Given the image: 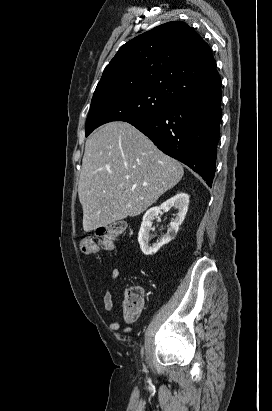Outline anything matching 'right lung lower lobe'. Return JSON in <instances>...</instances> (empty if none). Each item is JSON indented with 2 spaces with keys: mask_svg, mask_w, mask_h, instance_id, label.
I'll return each instance as SVG.
<instances>
[{
  "mask_svg": "<svg viewBox=\"0 0 272 411\" xmlns=\"http://www.w3.org/2000/svg\"><path fill=\"white\" fill-rule=\"evenodd\" d=\"M221 84L176 101L150 117L130 122L165 154L198 173L211 187L220 136Z\"/></svg>",
  "mask_w": 272,
  "mask_h": 411,
  "instance_id": "right-lung-lower-lobe-1",
  "label": "right lung lower lobe"
}]
</instances>
